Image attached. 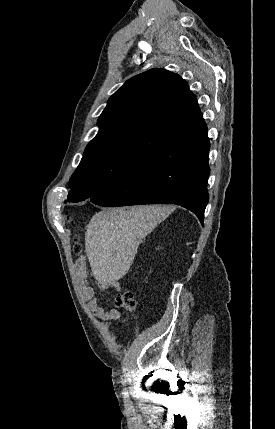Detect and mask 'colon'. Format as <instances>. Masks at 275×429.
<instances>
[{"label":"colon","mask_w":275,"mask_h":429,"mask_svg":"<svg viewBox=\"0 0 275 429\" xmlns=\"http://www.w3.org/2000/svg\"><path fill=\"white\" fill-rule=\"evenodd\" d=\"M75 254L81 258V250L78 246L74 249ZM116 305L130 312L136 307V300L133 293L129 290H125L118 294L116 297Z\"/></svg>","instance_id":"5ec220e1"}]
</instances>
